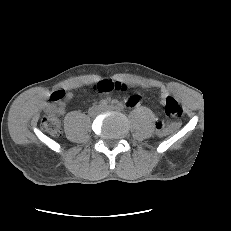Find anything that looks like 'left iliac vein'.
<instances>
[{
    "label": "left iliac vein",
    "instance_id": "left-iliac-vein-1",
    "mask_svg": "<svg viewBox=\"0 0 231 231\" xmlns=\"http://www.w3.org/2000/svg\"><path fill=\"white\" fill-rule=\"evenodd\" d=\"M115 109V107H113V106H108V107H105L103 110H114Z\"/></svg>",
    "mask_w": 231,
    "mask_h": 231
}]
</instances>
